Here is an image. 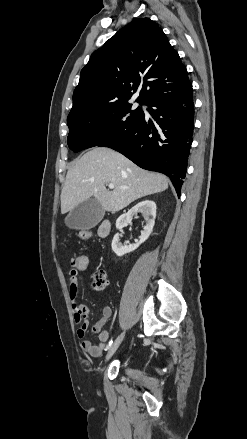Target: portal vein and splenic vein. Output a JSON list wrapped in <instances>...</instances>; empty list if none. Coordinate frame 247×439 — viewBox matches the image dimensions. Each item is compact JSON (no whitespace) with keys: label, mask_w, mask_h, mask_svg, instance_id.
Masks as SVG:
<instances>
[{"label":"portal vein and splenic vein","mask_w":247,"mask_h":439,"mask_svg":"<svg viewBox=\"0 0 247 439\" xmlns=\"http://www.w3.org/2000/svg\"><path fill=\"white\" fill-rule=\"evenodd\" d=\"M108 187L110 188V189H114V187H115V185L113 184V183H110L109 185H108ZM121 189H124V187H120Z\"/></svg>","instance_id":"portal-vein-and-splenic-vein-1"}]
</instances>
